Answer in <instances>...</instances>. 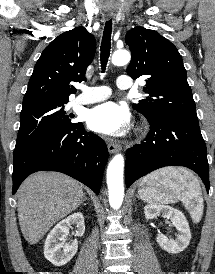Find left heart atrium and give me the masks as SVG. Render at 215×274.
Here are the masks:
<instances>
[{"label": "left heart atrium", "mask_w": 215, "mask_h": 274, "mask_svg": "<svg viewBox=\"0 0 215 274\" xmlns=\"http://www.w3.org/2000/svg\"><path fill=\"white\" fill-rule=\"evenodd\" d=\"M87 123L96 132L108 136H121L129 129L130 115L126 107L106 102L89 111Z\"/></svg>", "instance_id": "left-heart-atrium-1"}]
</instances>
